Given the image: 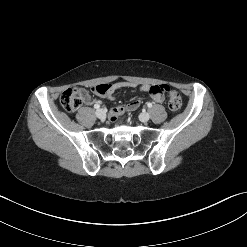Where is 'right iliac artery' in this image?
<instances>
[{
	"label": "right iliac artery",
	"instance_id": "82829eb1",
	"mask_svg": "<svg viewBox=\"0 0 247 247\" xmlns=\"http://www.w3.org/2000/svg\"><path fill=\"white\" fill-rule=\"evenodd\" d=\"M94 108H95V109H99V108H100V105H99V104H95V105H94Z\"/></svg>",
	"mask_w": 247,
	"mask_h": 247
}]
</instances>
